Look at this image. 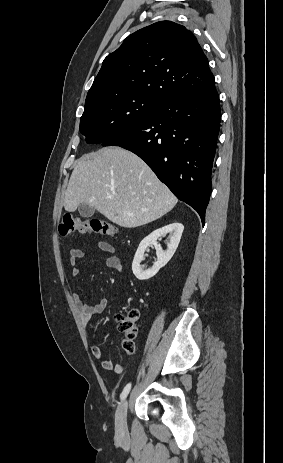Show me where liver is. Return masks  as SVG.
I'll return each mask as SVG.
<instances>
[{"label": "liver", "instance_id": "1", "mask_svg": "<svg viewBox=\"0 0 283 463\" xmlns=\"http://www.w3.org/2000/svg\"><path fill=\"white\" fill-rule=\"evenodd\" d=\"M177 201L137 155L120 147H106L77 161L64 208L74 212L80 204H88L113 223L135 228L161 218Z\"/></svg>", "mask_w": 283, "mask_h": 463}]
</instances>
